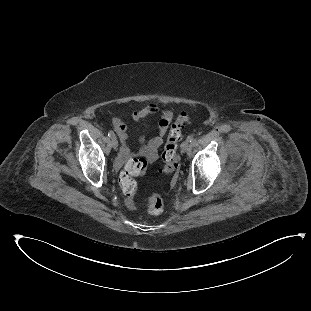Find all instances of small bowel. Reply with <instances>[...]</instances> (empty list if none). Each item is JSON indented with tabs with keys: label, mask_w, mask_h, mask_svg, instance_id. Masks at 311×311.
Returning a JSON list of instances; mask_svg holds the SVG:
<instances>
[{
	"label": "small bowel",
	"mask_w": 311,
	"mask_h": 311,
	"mask_svg": "<svg viewBox=\"0 0 311 311\" xmlns=\"http://www.w3.org/2000/svg\"><path fill=\"white\" fill-rule=\"evenodd\" d=\"M159 116L157 133L149 140L140 138L141 149L138 155L150 162L154 161L158 156V149L162 145L170 123L173 119V112L169 109L161 110L157 104H148L142 108L134 110L131 118L134 122H138L141 119L149 116ZM114 129L121 142L120 158L122 161H126L130 157V150L127 143V126L124 121L120 119L114 120Z\"/></svg>",
	"instance_id": "1"
}]
</instances>
